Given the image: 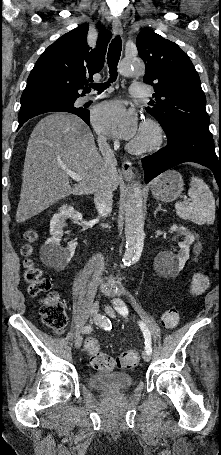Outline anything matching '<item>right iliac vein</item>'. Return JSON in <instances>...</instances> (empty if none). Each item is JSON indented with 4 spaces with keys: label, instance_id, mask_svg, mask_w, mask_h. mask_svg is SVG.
<instances>
[{
    "label": "right iliac vein",
    "instance_id": "63e3f726",
    "mask_svg": "<svg viewBox=\"0 0 221 455\" xmlns=\"http://www.w3.org/2000/svg\"><path fill=\"white\" fill-rule=\"evenodd\" d=\"M98 311H99V302L95 301L92 305L91 312L93 315H97ZM81 344H82V337L78 336L77 339L75 340V347L80 348Z\"/></svg>",
    "mask_w": 221,
    "mask_h": 455
}]
</instances>
